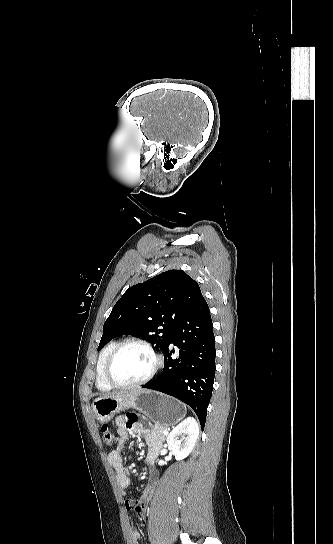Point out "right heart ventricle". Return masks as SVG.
Here are the masks:
<instances>
[{"label":"right heart ventricle","instance_id":"e07e8e85","mask_svg":"<svg viewBox=\"0 0 333 544\" xmlns=\"http://www.w3.org/2000/svg\"><path fill=\"white\" fill-rule=\"evenodd\" d=\"M119 344L118 341H111L101 350L96 364V386L101 391H110L113 387L104 378V366L109 354Z\"/></svg>","mask_w":333,"mask_h":544}]
</instances>
